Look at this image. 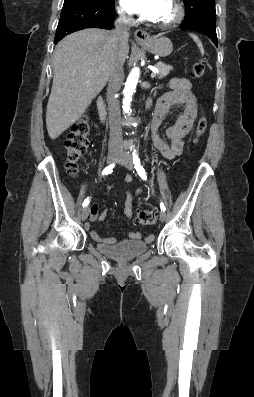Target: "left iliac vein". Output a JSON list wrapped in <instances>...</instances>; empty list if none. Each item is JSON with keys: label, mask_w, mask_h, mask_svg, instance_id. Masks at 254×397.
Here are the masks:
<instances>
[{"label": "left iliac vein", "mask_w": 254, "mask_h": 397, "mask_svg": "<svg viewBox=\"0 0 254 397\" xmlns=\"http://www.w3.org/2000/svg\"><path fill=\"white\" fill-rule=\"evenodd\" d=\"M120 158H121V164L123 166H125L129 170H133V167H134L133 166V161H132V157L129 154V152L121 153ZM160 220L162 222H164L166 220V213L164 211L160 212Z\"/></svg>", "instance_id": "obj_1"}]
</instances>
